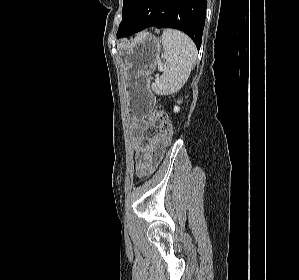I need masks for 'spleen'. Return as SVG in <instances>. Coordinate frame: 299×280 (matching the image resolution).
Returning <instances> with one entry per match:
<instances>
[{
    "mask_svg": "<svg viewBox=\"0 0 299 280\" xmlns=\"http://www.w3.org/2000/svg\"><path fill=\"white\" fill-rule=\"evenodd\" d=\"M166 66L151 88L157 95H169L180 90L189 78L197 58L193 41L184 33L166 29L162 34Z\"/></svg>",
    "mask_w": 299,
    "mask_h": 280,
    "instance_id": "obj_1",
    "label": "spleen"
}]
</instances>
